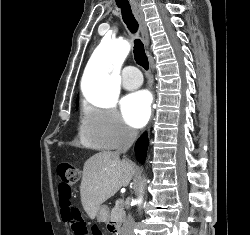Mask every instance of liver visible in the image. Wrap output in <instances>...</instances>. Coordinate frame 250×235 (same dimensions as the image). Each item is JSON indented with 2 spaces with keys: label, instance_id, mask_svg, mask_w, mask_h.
<instances>
[{
  "label": "liver",
  "instance_id": "obj_1",
  "mask_svg": "<svg viewBox=\"0 0 250 235\" xmlns=\"http://www.w3.org/2000/svg\"><path fill=\"white\" fill-rule=\"evenodd\" d=\"M135 172V164L120 160L115 152H99L89 158L83 167L80 186L81 202L90 219L97 215L99 207L129 185Z\"/></svg>",
  "mask_w": 250,
  "mask_h": 235
}]
</instances>
